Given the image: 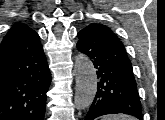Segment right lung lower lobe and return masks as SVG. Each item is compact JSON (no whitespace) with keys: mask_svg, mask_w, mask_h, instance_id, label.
Wrapping results in <instances>:
<instances>
[{"mask_svg":"<svg viewBox=\"0 0 165 120\" xmlns=\"http://www.w3.org/2000/svg\"><path fill=\"white\" fill-rule=\"evenodd\" d=\"M51 73L33 32L0 47V120H43Z\"/></svg>","mask_w":165,"mask_h":120,"instance_id":"98d812e1","label":"right lung lower lobe"}]
</instances>
